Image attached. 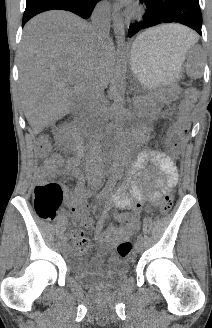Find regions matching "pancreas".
Masks as SVG:
<instances>
[{
	"label": "pancreas",
	"mask_w": 212,
	"mask_h": 328,
	"mask_svg": "<svg viewBox=\"0 0 212 328\" xmlns=\"http://www.w3.org/2000/svg\"><path fill=\"white\" fill-rule=\"evenodd\" d=\"M154 101L151 97L148 96H137L135 100L134 107L136 110L139 111V113H143L153 105Z\"/></svg>",
	"instance_id": "obj_1"
}]
</instances>
